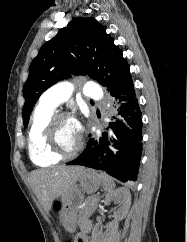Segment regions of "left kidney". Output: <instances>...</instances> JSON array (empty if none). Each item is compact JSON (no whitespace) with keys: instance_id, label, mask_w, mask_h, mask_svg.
Instances as JSON below:
<instances>
[{"instance_id":"5707ae66","label":"left kidney","mask_w":187,"mask_h":242,"mask_svg":"<svg viewBox=\"0 0 187 242\" xmlns=\"http://www.w3.org/2000/svg\"><path fill=\"white\" fill-rule=\"evenodd\" d=\"M111 202L119 204L117 211H114V221L106 225V232L103 233L98 225L94 226L92 231V242H112L117 234L119 221L124 219L131 206L130 191L124 187H120L105 198L104 203L109 205Z\"/></svg>"}]
</instances>
